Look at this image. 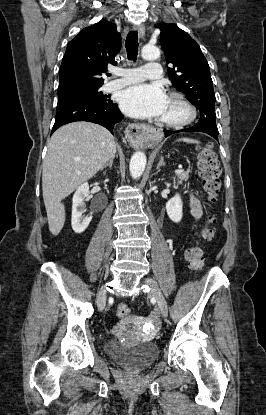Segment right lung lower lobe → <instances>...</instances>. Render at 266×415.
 Returning a JSON list of instances; mask_svg holds the SVG:
<instances>
[{
	"label": "right lung lower lobe",
	"instance_id": "obj_1",
	"mask_svg": "<svg viewBox=\"0 0 266 415\" xmlns=\"http://www.w3.org/2000/svg\"><path fill=\"white\" fill-rule=\"evenodd\" d=\"M123 118L117 104L112 101L104 104L88 101L58 102L52 133L70 122L89 121L104 126L113 134L114 125Z\"/></svg>",
	"mask_w": 266,
	"mask_h": 415
}]
</instances>
